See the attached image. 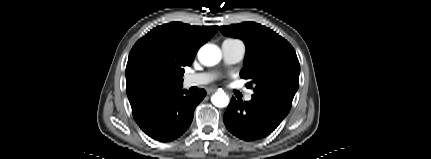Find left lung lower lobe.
I'll return each mask as SVG.
<instances>
[{
	"label": "left lung lower lobe",
	"mask_w": 431,
	"mask_h": 159,
	"mask_svg": "<svg viewBox=\"0 0 431 159\" xmlns=\"http://www.w3.org/2000/svg\"><path fill=\"white\" fill-rule=\"evenodd\" d=\"M291 107L268 98L253 97L249 102L231 99L224 113L227 129L245 141L269 135L289 113Z\"/></svg>",
	"instance_id": "obj_1"
}]
</instances>
